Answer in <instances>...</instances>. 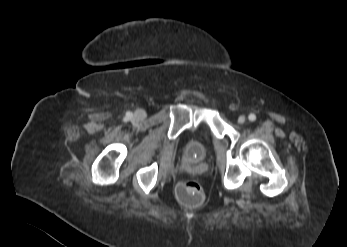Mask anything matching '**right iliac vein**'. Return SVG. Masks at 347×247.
<instances>
[{
  "label": "right iliac vein",
  "mask_w": 347,
  "mask_h": 247,
  "mask_svg": "<svg viewBox=\"0 0 347 247\" xmlns=\"http://www.w3.org/2000/svg\"><path fill=\"white\" fill-rule=\"evenodd\" d=\"M146 116V112L142 109H139L137 110L135 113H134V118L136 120H141L143 119L144 117Z\"/></svg>",
  "instance_id": "obj_1"
}]
</instances>
